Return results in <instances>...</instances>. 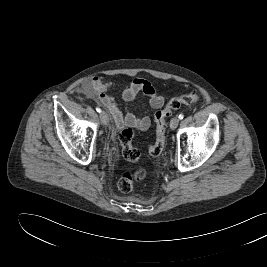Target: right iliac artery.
<instances>
[{"mask_svg":"<svg viewBox=\"0 0 267 267\" xmlns=\"http://www.w3.org/2000/svg\"><path fill=\"white\" fill-rule=\"evenodd\" d=\"M96 111H97L98 113H100V112H101V109H100L99 107H97V108H96Z\"/></svg>","mask_w":267,"mask_h":267,"instance_id":"1","label":"right iliac artery"}]
</instances>
